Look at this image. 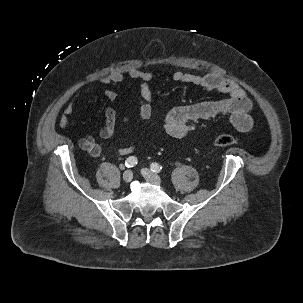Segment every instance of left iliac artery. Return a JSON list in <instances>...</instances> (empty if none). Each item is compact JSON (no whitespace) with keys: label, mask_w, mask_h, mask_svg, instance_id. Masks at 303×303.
Wrapping results in <instances>:
<instances>
[{"label":"left iliac artery","mask_w":303,"mask_h":303,"mask_svg":"<svg viewBox=\"0 0 303 303\" xmlns=\"http://www.w3.org/2000/svg\"><path fill=\"white\" fill-rule=\"evenodd\" d=\"M150 168L153 172L159 173L162 169V166H160L158 163L154 162L150 165Z\"/></svg>","instance_id":"44dca946"}]
</instances>
